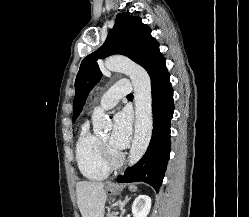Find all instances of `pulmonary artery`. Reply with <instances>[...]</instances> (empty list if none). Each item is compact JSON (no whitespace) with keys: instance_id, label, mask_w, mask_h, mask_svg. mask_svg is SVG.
<instances>
[{"instance_id":"1","label":"pulmonary artery","mask_w":249,"mask_h":217,"mask_svg":"<svg viewBox=\"0 0 249 217\" xmlns=\"http://www.w3.org/2000/svg\"><path fill=\"white\" fill-rule=\"evenodd\" d=\"M131 91V83L128 80L118 81L102 95L99 104L105 110L111 109L121 98L128 96Z\"/></svg>"}]
</instances>
